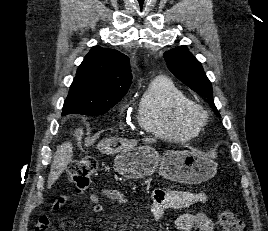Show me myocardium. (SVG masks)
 <instances>
[{"mask_svg":"<svg viewBox=\"0 0 268 231\" xmlns=\"http://www.w3.org/2000/svg\"><path fill=\"white\" fill-rule=\"evenodd\" d=\"M182 117L190 127H202L207 121V111L196 101H188L183 108Z\"/></svg>","mask_w":268,"mask_h":231,"instance_id":"f54148a6","label":"myocardium"}]
</instances>
